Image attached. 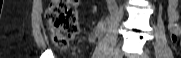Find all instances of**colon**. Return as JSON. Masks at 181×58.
Here are the masks:
<instances>
[{"mask_svg":"<svg viewBox=\"0 0 181 58\" xmlns=\"http://www.w3.org/2000/svg\"><path fill=\"white\" fill-rule=\"evenodd\" d=\"M78 4V0H53L46 11L53 43L60 49L66 48L78 34Z\"/></svg>","mask_w":181,"mask_h":58,"instance_id":"1","label":"colon"}]
</instances>
